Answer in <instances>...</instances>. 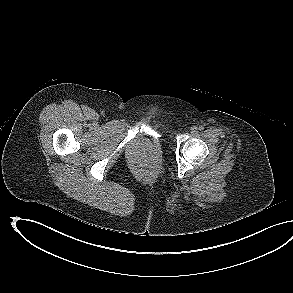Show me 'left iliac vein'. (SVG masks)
<instances>
[{
	"instance_id": "4c4485c4",
	"label": "left iliac vein",
	"mask_w": 293,
	"mask_h": 293,
	"mask_svg": "<svg viewBox=\"0 0 293 293\" xmlns=\"http://www.w3.org/2000/svg\"><path fill=\"white\" fill-rule=\"evenodd\" d=\"M191 133L192 134H196L197 133V127L196 126L191 127Z\"/></svg>"
}]
</instances>
